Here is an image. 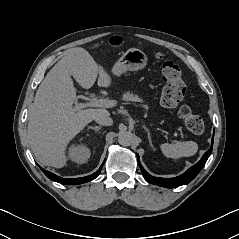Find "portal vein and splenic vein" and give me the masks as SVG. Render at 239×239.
<instances>
[{"label": "portal vein and splenic vein", "instance_id": "1", "mask_svg": "<svg viewBox=\"0 0 239 239\" xmlns=\"http://www.w3.org/2000/svg\"><path fill=\"white\" fill-rule=\"evenodd\" d=\"M115 102L113 100L108 99H92L89 103H80L75 105V110H80L85 107H104L110 108L115 106Z\"/></svg>", "mask_w": 239, "mask_h": 239}]
</instances>
